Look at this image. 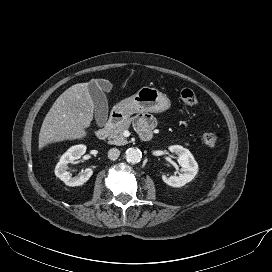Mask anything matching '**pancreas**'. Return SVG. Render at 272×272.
<instances>
[{"label":"pancreas","instance_id":"cf45deb5","mask_svg":"<svg viewBox=\"0 0 272 272\" xmlns=\"http://www.w3.org/2000/svg\"><path fill=\"white\" fill-rule=\"evenodd\" d=\"M135 117L128 118L123 122L117 124L115 128L110 132L108 142L113 145H125L128 143L127 139L124 137L123 132L128 130L131 123H133Z\"/></svg>","mask_w":272,"mask_h":272}]
</instances>
